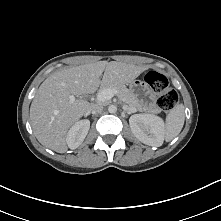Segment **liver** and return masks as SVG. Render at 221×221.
Instances as JSON below:
<instances>
[{
	"label": "liver",
	"mask_w": 221,
	"mask_h": 221,
	"mask_svg": "<svg viewBox=\"0 0 221 221\" xmlns=\"http://www.w3.org/2000/svg\"><path fill=\"white\" fill-rule=\"evenodd\" d=\"M145 70L133 64L99 61L53 73L40 85L30 107L37 140L57 153L66 152L69 128L91 108L88 101L75 96L94 93L100 85L130 83ZM72 97L74 101H70Z\"/></svg>",
	"instance_id": "6515ba94"
}]
</instances>
